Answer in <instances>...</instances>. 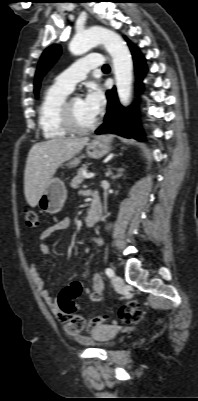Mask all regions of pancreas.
<instances>
[{"label": "pancreas", "instance_id": "cf45deb5", "mask_svg": "<svg viewBox=\"0 0 198 401\" xmlns=\"http://www.w3.org/2000/svg\"><path fill=\"white\" fill-rule=\"evenodd\" d=\"M85 171H87V167L85 166L78 169L76 176H74L73 179L71 180L70 183L71 188L77 189L80 186V184L85 179V174H84Z\"/></svg>", "mask_w": 198, "mask_h": 401}]
</instances>
